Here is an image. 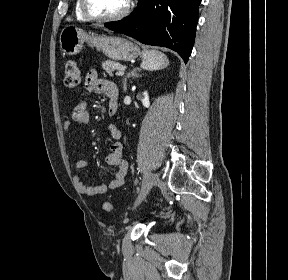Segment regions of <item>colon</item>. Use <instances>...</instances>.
Wrapping results in <instances>:
<instances>
[{
  "mask_svg": "<svg viewBox=\"0 0 288 280\" xmlns=\"http://www.w3.org/2000/svg\"><path fill=\"white\" fill-rule=\"evenodd\" d=\"M63 82L67 88H74L80 82V71L75 61H68L65 65ZM103 210L105 212H111L113 210V204L105 202L103 204Z\"/></svg>",
  "mask_w": 288,
  "mask_h": 280,
  "instance_id": "colon-1",
  "label": "colon"
}]
</instances>
